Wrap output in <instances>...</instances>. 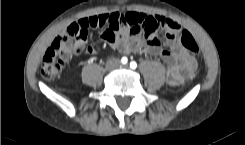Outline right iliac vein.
I'll return each instance as SVG.
<instances>
[{"label":"right iliac vein","mask_w":245,"mask_h":145,"mask_svg":"<svg viewBox=\"0 0 245 145\" xmlns=\"http://www.w3.org/2000/svg\"><path fill=\"white\" fill-rule=\"evenodd\" d=\"M118 66V61L113 59L107 64V68L112 70Z\"/></svg>","instance_id":"obj_1"}]
</instances>
